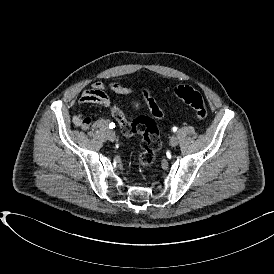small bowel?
I'll return each mask as SVG.
<instances>
[{
  "instance_id": "obj_1",
  "label": "small bowel",
  "mask_w": 274,
  "mask_h": 274,
  "mask_svg": "<svg viewBox=\"0 0 274 274\" xmlns=\"http://www.w3.org/2000/svg\"><path fill=\"white\" fill-rule=\"evenodd\" d=\"M108 92L125 95L131 92V88L129 86L122 85L117 79L114 78L110 79L107 83L95 81L88 89L81 93L77 103L79 105L96 104L104 107L109 106L111 100ZM91 123V117L81 113H78L73 117V124L82 130H88Z\"/></svg>"
}]
</instances>
